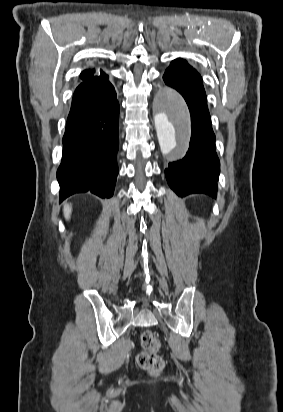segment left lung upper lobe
<instances>
[{
    "label": "left lung upper lobe",
    "mask_w": 283,
    "mask_h": 412,
    "mask_svg": "<svg viewBox=\"0 0 283 412\" xmlns=\"http://www.w3.org/2000/svg\"><path fill=\"white\" fill-rule=\"evenodd\" d=\"M176 72H185V73H197L185 60L176 59L171 65L166 69L165 73H176Z\"/></svg>",
    "instance_id": "left-lung-upper-lobe-1"
}]
</instances>
